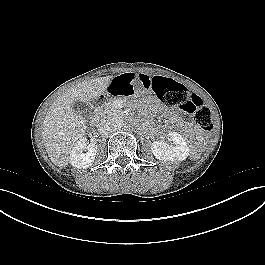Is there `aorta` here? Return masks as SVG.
<instances>
[{
	"mask_svg": "<svg viewBox=\"0 0 265 265\" xmlns=\"http://www.w3.org/2000/svg\"><path fill=\"white\" fill-rule=\"evenodd\" d=\"M120 114H115L111 119L113 126L116 128H121L124 125L123 117Z\"/></svg>",
	"mask_w": 265,
	"mask_h": 265,
	"instance_id": "1",
	"label": "aorta"
}]
</instances>
